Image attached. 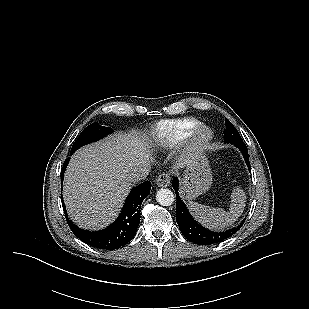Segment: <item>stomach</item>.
<instances>
[{"mask_svg": "<svg viewBox=\"0 0 309 309\" xmlns=\"http://www.w3.org/2000/svg\"><path fill=\"white\" fill-rule=\"evenodd\" d=\"M212 172L203 150L193 151L183 172L180 193L185 199L192 200L210 189Z\"/></svg>", "mask_w": 309, "mask_h": 309, "instance_id": "stomach-1", "label": "stomach"}]
</instances>
